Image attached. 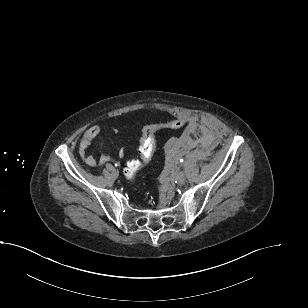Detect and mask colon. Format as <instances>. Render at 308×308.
<instances>
[{
  "label": "colon",
  "mask_w": 308,
  "mask_h": 308,
  "mask_svg": "<svg viewBox=\"0 0 308 308\" xmlns=\"http://www.w3.org/2000/svg\"><path fill=\"white\" fill-rule=\"evenodd\" d=\"M184 124L180 118H174L166 123L150 125L144 128L140 141V158L130 161L125 168V175L132 179L136 172L148 162L154 153L156 147V134L161 129H177Z\"/></svg>",
  "instance_id": "obj_1"
}]
</instances>
